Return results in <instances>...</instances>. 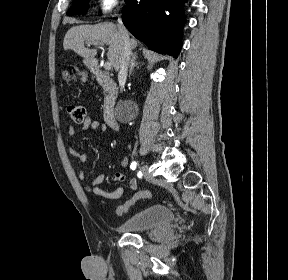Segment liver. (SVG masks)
<instances>
[{"label":"liver","instance_id":"6515ba94","mask_svg":"<svg viewBox=\"0 0 288 280\" xmlns=\"http://www.w3.org/2000/svg\"><path fill=\"white\" fill-rule=\"evenodd\" d=\"M100 42L109 46L107 58L115 71L120 69V57L122 54V39L118 26L109 23H99L96 25H78L71 27L66 33L63 41L64 50L71 49L85 59H92L96 56V49L86 48L84 43ZM130 48L137 47V40L129 39Z\"/></svg>","mask_w":288,"mask_h":280}]
</instances>
